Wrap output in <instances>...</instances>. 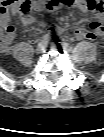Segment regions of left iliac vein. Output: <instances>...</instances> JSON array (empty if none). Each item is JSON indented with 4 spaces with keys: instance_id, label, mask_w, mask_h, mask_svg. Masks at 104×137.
<instances>
[{
    "instance_id": "left-iliac-vein-1",
    "label": "left iliac vein",
    "mask_w": 104,
    "mask_h": 137,
    "mask_svg": "<svg viewBox=\"0 0 104 137\" xmlns=\"http://www.w3.org/2000/svg\"><path fill=\"white\" fill-rule=\"evenodd\" d=\"M55 49H57L58 47L57 46H54Z\"/></svg>"
}]
</instances>
